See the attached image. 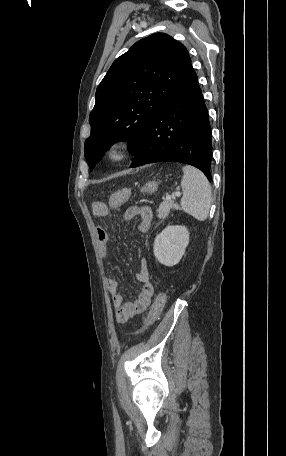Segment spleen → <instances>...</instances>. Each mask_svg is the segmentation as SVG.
<instances>
[{
    "label": "spleen",
    "mask_w": 286,
    "mask_h": 456,
    "mask_svg": "<svg viewBox=\"0 0 286 456\" xmlns=\"http://www.w3.org/2000/svg\"><path fill=\"white\" fill-rule=\"evenodd\" d=\"M182 209L198 221L207 219L211 206V187L206 176L192 166L183 167Z\"/></svg>",
    "instance_id": "spleen-1"
}]
</instances>
